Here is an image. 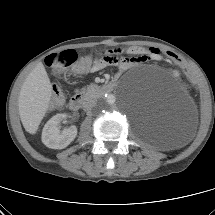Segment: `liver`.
<instances>
[{"instance_id":"1","label":"liver","mask_w":215,"mask_h":215,"mask_svg":"<svg viewBox=\"0 0 215 215\" xmlns=\"http://www.w3.org/2000/svg\"><path fill=\"white\" fill-rule=\"evenodd\" d=\"M52 85L39 62L25 79L19 93L18 109L25 130L35 134L49 107Z\"/></svg>"}]
</instances>
